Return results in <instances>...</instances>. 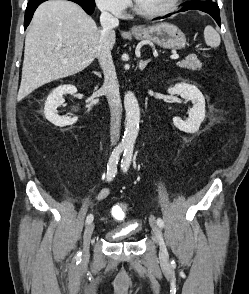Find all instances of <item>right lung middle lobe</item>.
<instances>
[{
    "mask_svg": "<svg viewBox=\"0 0 249 294\" xmlns=\"http://www.w3.org/2000/svg\"><path fill=\"white\" fill-rule=\"evenodd\" d=\"M83 1H84V3H86V4H90V5L95 6V2H94V0H83Z\"/></svg>",
    "mask_w": 249,
    "mask_h": 294,
    "instance_id": "dd1d6c3e",
    "label": "right lung middle lobe"
}]
</instances>
